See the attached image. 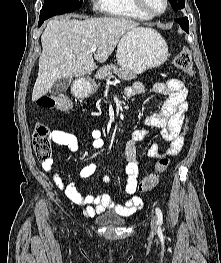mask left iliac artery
Returning a JSON list of instances; mask_svg holds the SVG:
<instances>
[{
    "label": "left iliac artery",
    "instance_id": "1",
    "mask_svg": "<svg viewBox=\"0 0 221 263\" xmlns=\"http://www.w3.org/2000/svg\"><path fill=\"white\" fill-rule=\"evenodd\" d=\"M155 212H156V215H157V223L158 224H162V222H163L162 211L160 210V208H156Z\"/></svg>",
    "mask_w": 221,
    "mask_h": 263
}]
</instances>
